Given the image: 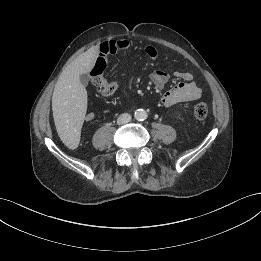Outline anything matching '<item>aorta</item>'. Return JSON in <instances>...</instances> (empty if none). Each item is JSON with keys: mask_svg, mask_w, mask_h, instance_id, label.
<instances>
[{"mask_svg": "<svg viewBox=\"0 0 261 261\" xmlns=\"http://www.w3.org/2000/svg\"><path fill=\"white\" fill-rule=\"evenodd\" d=\"M135 118L137 120H145L147 118V112L143 109H138L136 112H135Z\"/></svg>", "mask_w": 261, "mask_h": 261, "instance_id": "762f6f07", "label": "aorta"}]
</instances>
